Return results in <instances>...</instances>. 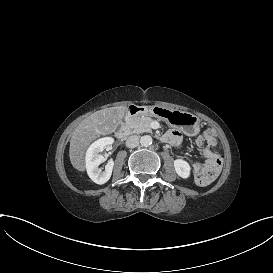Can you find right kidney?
I'll use <instances>...</instances> for the list:
<instances>
[{"label": "right kidney", "instance_id": "1", "mask_svg": "<svg viewBox=\"0 0 273 273\" xmlns=\"http://www.w3.org/2000/svg\"><path fill=\"white\" fill-rule=\"evenodd\" d=\"M112 143V139L104 138L95 142L88 150L86 155V166L89 177L99 185H103L109 181L112 175L114 161L111 159L105 167V171L99 168V165L105 161L102 152L105 145Z\"/></svg>", "mask_w": 273, "mask_h": 273}]
</instances>
